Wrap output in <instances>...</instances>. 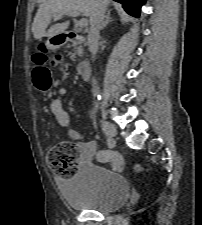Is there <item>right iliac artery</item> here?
Instances as JSON below:
<instances>
[{
    "label": "right iliac artery",
    "instance_id": "1",
    "mask_svg": "<svg viewBox=\"0 0 202 225\" xmlns=\"http://www.w3.org/2000/svg\"><path fill=\"white\" fill-rule=\"evenodd\" d=\"M106 143L108 144L109 147H113V142L110 139L106 140Z\"/></svg>",
    "mask_w": 202,
    "mask_h": 225
}]
</instances>
